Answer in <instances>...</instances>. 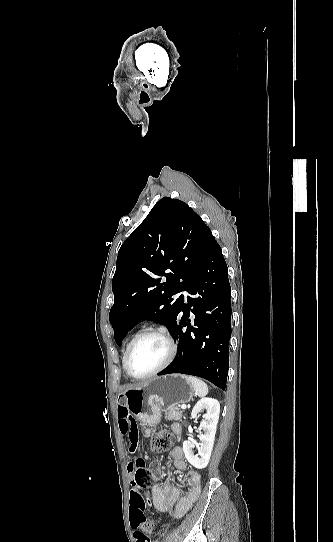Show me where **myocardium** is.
I'll list each match as a JSON object with an SVG mask.
<instances>
[{"label":"myocardium","mask_w":333,"mask_h":542,"mask_svg":"<svg viewBox=\"0 0 333 542\" xmlns=\"http://www.w3.org/2000/svg\"><path fill=\"white\" fill-rule=\"evenodd\" d=\"M147 336H156V337L161 338L165 342V344L167 346V355H166V358L163 361V363L160 366H158L155 370H153V371H151V372H149V373H147L145 375H142V376H135L129 370V358H130V355L132 353V350H133L134 346L141 339H143V338H145ZM176 352H177V347H176L174 338L169 333V331H167L165 328H163V327H155V328L144 329L141 332H139L133 338V340L130 342V344L128 346V349H127V352H126V355H125V359H124L125 371L133 379H147V378H150V377L155 376L156 374L162 372L164 369H166L172 363V361L174 360V358L176 356Z\"/></svg>","instance_id":"1"}]
</instances>
